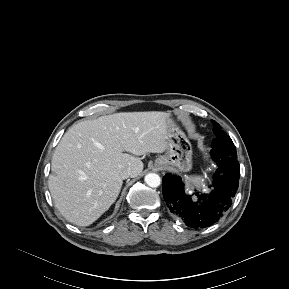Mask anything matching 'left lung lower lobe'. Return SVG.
<instances>
[{
  "instance_id": "1",
  "label": "left lung lower lobe",
  "mask_w": 289,
  "mask_h": 289,
  "mask_svg": "<svg viewBox=\"0 0 289 289\" xmlns=\"http://www.w3.org/2000/svg\"><path fill=\"white\" fill-rule=\"evenodd\" d=\"M218 165L210 194L196 192L185 194L180 177L166 174L163 177V197L174 215L194 229L205 228L216 223L230 208L237 192L240 178V165L237 155L219 157L212 152Z\"/></svg>"
}]
</instances>
